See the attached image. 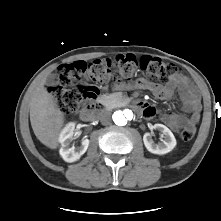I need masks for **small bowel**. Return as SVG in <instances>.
<instances>
[{"label": "small bowel", "instance_id": "obj_1", "mask_svg": "<svg viewBox=\"0 0 221 221\" xmlns=\"http://www.w3.org/2000/svg\"><path fill=\"white\" fill-rule=\"evenodd\" d=\"M138 86L148 87L157 98L163 100L171 98L175 89H178L182 100V109L189 114V116L176 113L160 114L148 104L143 103L141 110L146 118L161 117L174 131H179L188 126L196 127L200 119V98L186 76L175 77L167 86H155L143 80L138 82Z\"/></svg>", "mask_w": 221, "mask_h": 221}]
</instances>
